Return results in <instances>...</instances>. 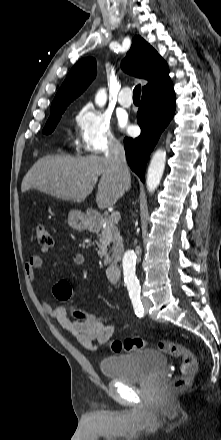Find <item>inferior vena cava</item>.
<instances>
[{
  "label": "inferior vena cava",
  "mask_w": 221,
  "mask_h": 440,
  "mask_svg": "<svg viewBox=\"0 0 221 440\" xmlns=\"http://www.w3.org/2000/svg\"><path fill=\"white\" fill-rule=\"evenodd\" d=\"M105 158L112 164L117 176L122 180L123 190L127 191L130 187V173L126 162L124 147L119 141L116 139L109 140Z\"/></svg>",
  "instance_id": "inferior-vena-cava-1"
}]
</instances>
